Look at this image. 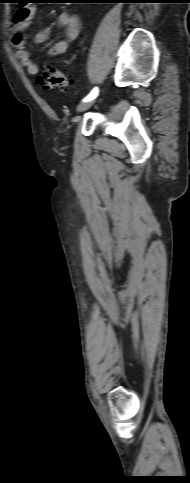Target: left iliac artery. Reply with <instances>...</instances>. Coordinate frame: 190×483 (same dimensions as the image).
<instances>
[{"label": "left iliac artery", "instance_id": "1", "mask_svg": "<svg viewBox=\"0 0 190 483\" xmlns=\"http://www.w3.org/2000/svg\"><path fill=\"white\" fill-rule=\"evenodd\" d=\"M98 92H99L98 88L94 87L93 90L89 93V95L83 99V102H88L95 99L98 95Z\"/></svg>", "mask_w": 190, "mask_h": 483}]
</instances>
